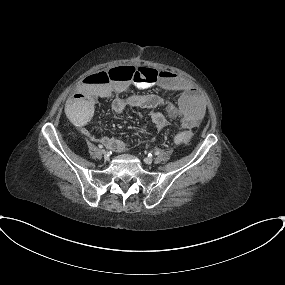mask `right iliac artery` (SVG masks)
I'll return each mask as SVG.
<instances>
[{
  "label": "right iliac artery",
  "mask_w": 285,
  "mask_h": 285,
  "mask_svg": "<svg viewBox=\"0 0 285 285\" xmlns=\"http://www.w3.org/2000/svg\"><path fill=\"white\" fill-rule=\"evenodd\" d=\"M98 148H99V149H102V148H103V145L98 144Z\"/></svg>",
  "instance_id": "1"
}]
</instances>
